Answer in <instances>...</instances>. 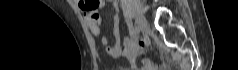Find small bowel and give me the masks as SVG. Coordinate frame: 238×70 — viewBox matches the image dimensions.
Wrapping results in <instances>:
<instances>
[{
    "mask_svg": "<svg viewBox=\"0 0 238 70\" xmlns=\"http://www.w3.org/2000/svg\"><path fill=\"white\" fill-rule=\"evenodd\" d=\"M105 4L104 0H77L78 7L83 11L87 26L94 36L101 37V43L106 48L108 54L114 58L125 57L130 62L131 70H151V62L149 59H143L141 67L135 63V56L141 52L144 43L142 41L136 42L133 38L128 37L122 40L118 20H114L113 34L115 37V44L109 45L106 36L101 34V18L98 10ZM115 6L117 2L115 1Z\"/></svg>",
    "mask_w": 238,
    "mask_h": 70,
    "instance_id": "obj_1",
    "label": "small bowel"
}]
</instances>
